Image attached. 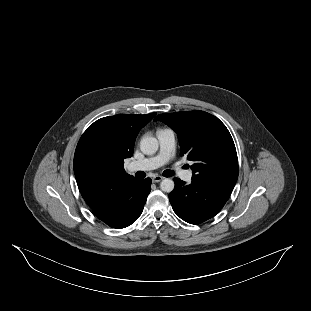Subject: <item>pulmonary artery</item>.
Returning a JSON list of instances; mask_svg holds the SVG:
<instances>
[{"mask_svg":"<svg viewBox=\"0 0 311 311\" xmlns=\"http://www.w3.org/2000/svg\"><path fill=\"white\" fill-rule=\"evenodd\" d=\"M159 152L156 156L145 158L139 161L131 162L128 165L129 172H147L155 170L170 161L174 156L176 150L175 133L171 129H159L156 133ZM181 179L184 181H191L193 172L192 170H185L180 173Z\"/></svg>","mask_w":311,"mask_h":311,"instance_id":"obj_1","label":"pulmonary artery"}]
</instances>
